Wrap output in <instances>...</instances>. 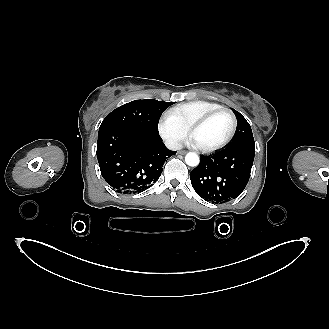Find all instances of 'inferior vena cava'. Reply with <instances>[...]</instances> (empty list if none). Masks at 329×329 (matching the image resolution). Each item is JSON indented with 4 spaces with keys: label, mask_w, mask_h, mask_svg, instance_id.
<instances>
[{
    "label": "inferior vena cava",
    "mask_w": 329,
    "mask_h": 329,
    "mask_svg": "<svg viewBox=\"0 0 329 329\" xmlns=\"http://www.w3.org/2000/svg\"><path fill=\"white\" fill-rule=\"evenodd\" d=\"M165 145L170 150H180L182 149V144L176 140H167L165 141Z\"/></svg>",
    "instance_id": "1"
}]
</instances>
